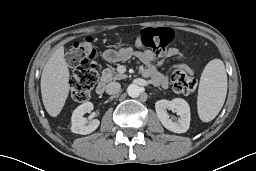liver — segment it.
I'll return each instance as SVG.
<instances>
[{"mask_svg":"<svg viewBox=\"0 0 256 171\" xmlns=\"http://www.w3.org/2000/svg\"><path fill=\"white\" fill-rule=\"evenodd\" d=\"M40 86L47 113L52 117L58 116L70 90L69 69L64 58L63 46L57 48L45 64Z\"/></svg>","mask_w":256,"mask_h":171,"instance_id":"6515ba94","label":"liver"}]
</instances>
